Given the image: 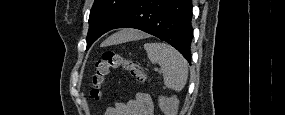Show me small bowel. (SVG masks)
<instances>
[{
    "mask_svg": "<svg viewBox=\"0 0 285 115\" xmlns=\"http://www.w3.org/2000/svg\"><path fill=\"white\" fill-rule=\"evenodd\" d=\"M153 102L149 94L137 93L134 99L126 103L116 102L114 106L108 107L105 115H152Z\"/></svg>",
    "mask_w": 285,
    "mask_h": 115,
    "instance_id": "c3829d8e",
    "label": "small bowel"
}]
</instances>
